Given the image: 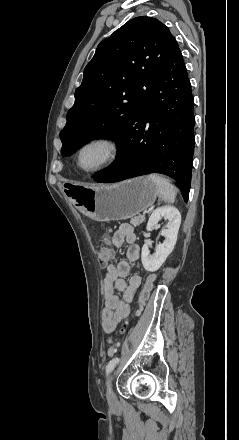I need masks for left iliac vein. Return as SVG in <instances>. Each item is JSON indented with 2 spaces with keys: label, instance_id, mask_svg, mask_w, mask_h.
<instances>
[{
  "label": "left iliac vein",
  "instance_id": "1",
  "mask_svg": "<svg viewBox=\"0 0 239 440\" xmlns=\"http://www.w3.org/2000/svg\"><path fill=\"white\" fill-rule=\"evenodd\" d=\"M112 382H113V375H111L109 377V381L107 383L108 388H107L106 397H107L108 404L111 407H115L117 404V401H116L114 393L112 392Z\"/></svg>",
  "mask_w": 239,
  "mask_h": 440
}]
</instances>
